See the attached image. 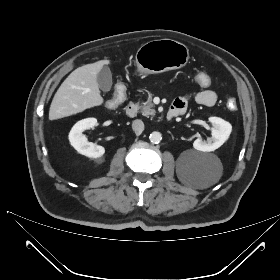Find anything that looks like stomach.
Here are the masks:
<instances>
[{"mask_svg": "<svg viewBox=\"0 0 280 280\" xmlns=\"http://www.w3.org/2000/svg\"><path fill=\"white\" fill-rule=\"evenodd\" d=\"M135 59L140 73H162L185 66L189 60V50L172 39L152 40L138 49Z\"/></svg>", "mask_w": 280, "mask_h": 280, "instance_id": "obj_1", "label": "stomach"}]
</instances>
